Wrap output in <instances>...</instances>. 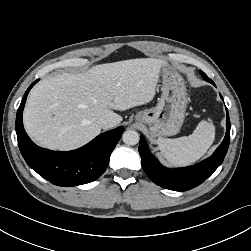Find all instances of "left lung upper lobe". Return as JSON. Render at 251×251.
Returning a JSON list of instances; mask_svg holds the SVG:
<instances>
[{
    "mask_svg": "<svg viewBox=\"0 0 251 251\" xmlns=\"http://www.w3.org/2000/svg\"><path fill=\"white\" fill-rule=\"evenodd\" d=\"M200 73H201V75H202V77L206 80V81H211L207 76H206V74L204 73V72H202V71H200Z\"/></svg>",
    "mask_w": 251,
    "mask_h": 251,
    "instance_id": "left-lung-upper-lobe-1",
    "label": "left lung upper lobe"
}]
</instances>
